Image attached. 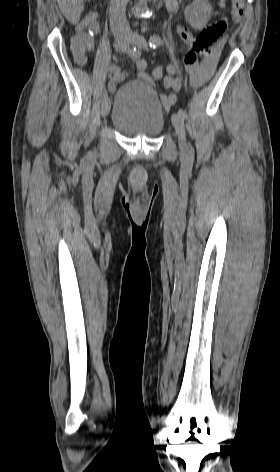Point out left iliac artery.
I'll use <instances>...</instances> for the list:
<instances>
[{"instance_id":"44dca946","label":"left iliac artery","mask_w":280,"mask_h":472,"mask_svg":"<svg viewBox=\"0 0 280 472\" xmlns=\"http://www.w3.org/2000/svg\"><path fill=\"white\" fill-rule=\"evenodd\" d=\"M162 44V40L159 36L153 35L149 38V46L152 48H157ZM167 72L170 75L171 86L174 91H180L182 87L181 80L178 77H175L176 68L173 65L167 66ZM178 115H180L183 119L187 118V112L184 109L178 110Z\"/></svg>"}]
</instances>
